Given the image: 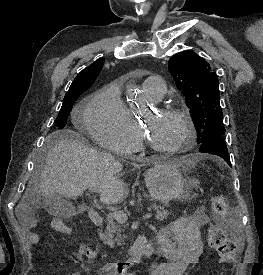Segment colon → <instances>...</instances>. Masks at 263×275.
Listing matches in <instances>:
<instances>
[{"label": "colon", "instance_id": "1", "mask_svg": "<svg viewBox=\"0 0 263 275\" xmlns=\"http://www.w3.org/2000/svg\"><path fill=\"white\" fill-rule=\"evenodd\" d=\"M210 203L214 217H222L226 213L228 202L225 195H213ZM54 229L62 234L70 233V227L62 221H56L54 223ZM207 241L208 244L218 252L220 263L226 265L228 268L234 266L237 257V245L227 236L221 227H211L208 232Z\"/></svg>", "mask_w": 263, "mask_h": 275}]
</instances>
